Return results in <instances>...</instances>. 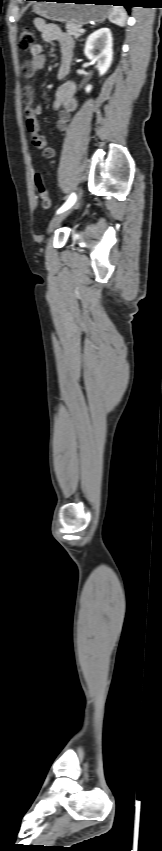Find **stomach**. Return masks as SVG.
<instances>
[{
  "label": "stomach",
  "instance_id": "obj_1",
  "mask_svg": "<svg viewBox=\"0 0 162 851\" xmlns=\"http://www.w3.org/2000/svg\"><path fill=\"white\" fill-rule=\"evenodd\" d=\"M34 3L33 10L37 15L46 19L59 22L84 25L89 22H100L105 20L111 11V7L104 4L102 0H38Z\"/></svg>",
  "mask_w": 162,
  "mask_h": 851
}]
</instances>
